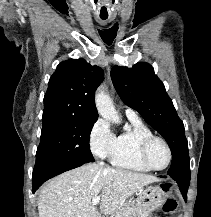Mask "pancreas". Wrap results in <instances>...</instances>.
<instances>
[{"mask_svg": "<svg viewBox=\"0 0 211 217\" xmlns=\"http://www.w3.org/2000/svg\"><path fill=\"white\" fill-rule=\"evenodd\" d=\"M112 217H135V205L133 203H126L118 208Z\"/></svg>", "mask_w": 211, "mask_h": 217, "instance_id": "1", "label": "pancreas"}]
</instances>
